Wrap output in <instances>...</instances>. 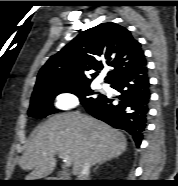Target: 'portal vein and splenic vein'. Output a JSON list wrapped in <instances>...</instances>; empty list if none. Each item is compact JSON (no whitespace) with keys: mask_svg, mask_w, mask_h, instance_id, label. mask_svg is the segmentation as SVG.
<instances>
[{"mask_svg":"<svg viewBox=\"0 0 178 186\" xmlns=\"http://www.w3.org/2000/svg\"><path fill=\"white\" fill-rule=\"evenodd\" d=\"M58 156L59 158L63 159L66 167H70L72 165V159L68 155L59 154Z\"/></svg>","mask_w":178,"mask_h":186,"instance_id":"obj_1","label":"portal vein and splenic vein"}]
</instances>
